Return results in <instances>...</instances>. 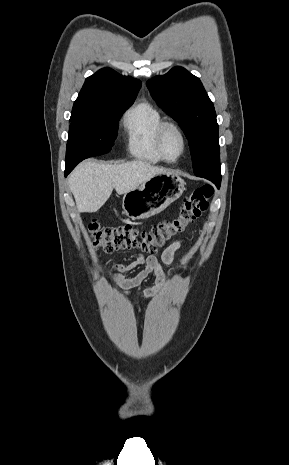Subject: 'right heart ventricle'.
<instances>
[{"instance_id":"obj_1","label":"right heart ventricle","mask_w":289,"mask_h":465,"mask_svg":"<svg viewBox=\"0 0 289 465\" xmlns=\"http://www.w3.org/2000/svg\"><path fill=\"white\" fill-rule=\"evenodd\" d=\"M161 112L150 102L141 101L131 107L123 117V128L129 152L136 158L162 162L156 146V135L163 121Z\"/></svg>"}]
</instances>
